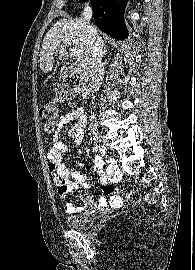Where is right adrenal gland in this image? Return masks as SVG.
Returning a JSON list of instances; mask_svg holds the SVG:
<instances>
[{
  "mask_svg": "<svg viewBox=\"0 0 195 270\" xmlns=\"http://www.w3.org/2000/svg\"><path fill=\"white\" fill-rule=\"evenodd\" d=\"M106 52H107V47H104L103 56L106 55Z\"/></svg>",
  "mask_w": 195,
  "mask_h": 270,
  "instance_id": "obj_1",
  "label": "right adrenal gland"
}]
</instances>
